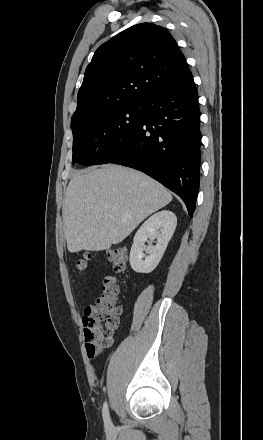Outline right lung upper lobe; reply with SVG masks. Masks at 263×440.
Masks as SVG:
<instances>
[{
  "label": "right lung upper lobe",
  "instance_id": "1",
  "mask_svg": "<svg viewBox=\"0 0 263 440\" xmlns=\"http://www.w3.org/2000/svg\"><path fill=\"white\" fill-rule=\"evenodd\" d=\"M188 72L184 55L166 29L151 23L134 25L94 53L77 95L71 129L104 109L144 102Z\"/></svg>",
  "mask_w": 263,
  "mask_h": 440
}]
</instances>
